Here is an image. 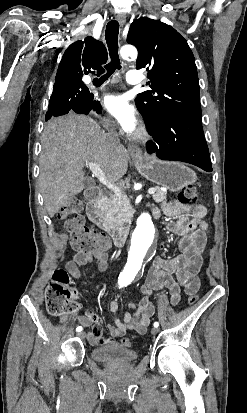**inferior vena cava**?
<instances>
[{"mask_svg":"<svg viewBox=\"0 0 247 413\" xmlns=\"http://www.w3.org/2000/svg\"><path fill=\"white\" fill-rule=\"evenodd\" d=\"M108 142H113V144H115V142H120L119 140V136L117 134V130H115V128H109L108 132H106L105 134Z\"/></svg>","mask_w":247,"mask_h":413,"instance_id":"602c4592","label":"inferior vena cava"}]
</instances>
